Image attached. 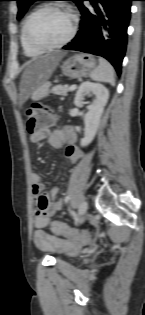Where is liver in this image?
Instances as JSON below:
<instances>
[{
  "mask_svg": "<svg viewBox=\"0 0 145 315\" xmlns=\"http://www.w3.org/2000/svg\"><path fill=\"white\" fill-rule=\"evenodd\" d=\"M65 55V52H58L27 62L20 82V105L25 103L40 85L47 82Z\"/></svg>",
  "mask_w": 145,
  "mask_h": 315,
  "instance_id": "liver-1",
  "label": "liver"
}]
</instances>
